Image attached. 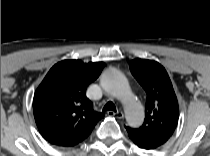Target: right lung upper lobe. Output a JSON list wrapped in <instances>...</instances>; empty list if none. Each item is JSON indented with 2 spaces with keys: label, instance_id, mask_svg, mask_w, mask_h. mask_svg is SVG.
<instances>
[{
  "label": "right lung upper lobe",
  "instance_id": "obj_1",
  "mask_svg": "<svg viewBox=\"0 0 210 156\" xmlns=\"http://www.w3.org/2000/svg\"><path fill=\"white\" fill-rule=\"evenodd\" d=\"M79 69V61L54 65L37 89L33 109L38 129L52 144L73 146L84 140L101 115L85 95L87 85L100 74Z\"/></svg>",
  "mask_w": 210,
  "mask_h": 156
}]
</instances>
